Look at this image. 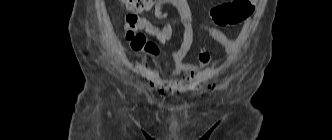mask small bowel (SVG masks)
Segmentation results:
<instances>
[{"mask_svg": "<svg viewBox=\"0 0 332 140\" xmlns=\"http://www.w3.org/2000/svg\"><path fill=\"white\" fill-rule=\"evenodd\" d=\"M156 15L159 18H165L167 13L165 8L173 6L181 19L183 26V35L180 44L172 51V60L174 64L173 70L169 73L168 79L161 76L155 70H149L145 73L146 81L162 94H176L182 93L186 90L189 82L196 76V74L204 69L210 61V54L202 47L198 54L199 64L193 65L185 62V58L190 51L193 40V15L189 9L187 0H155ZM150 6L147 8L149 9ZM199 28L205 31L222 49L226 56H230L242 43L249 23L246 22L235 39L228 38L222 31L214 27H210L204 23H200ZM159 42L166 43L170 41L169 38H164L162 35L154 36Z\"/></svg>", "mask_w": 332, "mask_h": 140, "instance_id": "obj_1", "label": "small bowel"}]
</instances>
